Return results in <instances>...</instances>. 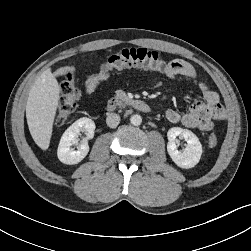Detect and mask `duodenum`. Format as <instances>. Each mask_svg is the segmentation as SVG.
Instances as JSON below:
<instances>
[{"label":"duodenum","instance_id":"1","mask_svg":"<svg viewBox=\"0 0 251 251\" xmlns=\"http://www.w3.org/2000/svg\"><path fill=\"white\" fill-rule=\"evenodd\" d=\"M121 107H130V108H133L138 111L145 112V113L150 112L151 110L150 106L144 100H140V99H132L128 101H123L120 98H112L108 100L106 103V109L109 112L115 111L116 109L121 108Z\"/></svg>","mask_w":251,"mask_h":251}]
</instances>
